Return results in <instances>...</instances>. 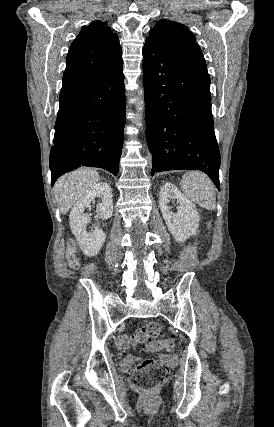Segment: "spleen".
<instances>
[{
	"label": "spleen",
	"instance_id": "3e777b00",
	"mask_svg": "<svg viewBox=\"0 0 274 427\" xmlns=\"http://www.w3.org/2000/svg\"><path fill=\"white\" fill-rule=\"evenodd\" d=\"M181 188L188 200L199 204L206 210H215L214 186L206 174L202 172H187L181 180Z\"/></svg>",
	"mask_w": 274,
	"mask_h": 427
}]
</instances>
